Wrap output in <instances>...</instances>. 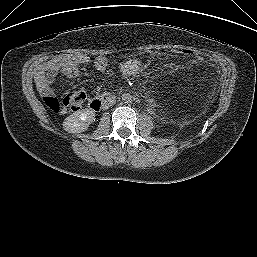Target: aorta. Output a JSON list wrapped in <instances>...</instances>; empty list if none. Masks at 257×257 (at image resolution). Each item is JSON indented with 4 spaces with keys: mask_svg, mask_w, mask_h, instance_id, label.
I'll return each instance as SVG.
<instances>
[{
    "mask_svg": "<svg viewBox=\"0 0 257 257\" xmlns=\"http://www.w3.org/2000/svg\"><path fill=\"white\" fill-rule=\"evenodd\" d=\"M122 101L124 103H130V102H132V96L129 93H124L122 95Z\"/></svg>",
    "mask_w": 257,
    "mask_h": 257,
    "instance_id": "obj_1",
    "label": "aorta"
}]
</instances>
